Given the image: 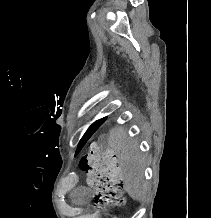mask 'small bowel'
I'll list each match as a JSON object with an SVG mask.
<instances>
[{
	"instance_id": "obj_1",
	"label": "small bowel",
	"mask_w": 211,
	"mask_h": 218,
	"mask_svg": "<svg viewBox=\"0 0 211 218\" xmlns=\"http://www.w3.org/2000/svg\"><path fill=\"white\" fill-rule=\"evenodd\" d=\"M91 195V190L89 188H79L74 191L73 197L75 198L76 201H82L85 198L89 197Z\"/></svg>"
}]
</instances>
